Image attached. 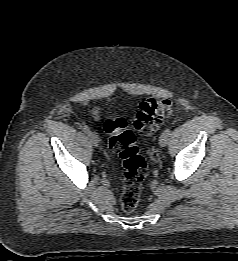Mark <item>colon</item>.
<instances>
[{
	"label": "colon",
	"mask_w": 238,
	"mask_h": 261,
	"mask_svg": "<svg viewBox=\"0 0 238 261\" xmlns=\"http://www.w3.org/2000/svg\"><path fill=\"white\" fill-rule=\"evenodd\" d=\"M173 103L168 99L149 98L139 104L134 128L143 135H152L162 120L172 113ZM104 130L110 134L109 147L122 159L124 166L121 207L130 213L138 206L143 180L147 174L145 159L141 156L132 131L126 129L123 119L107 120Z\"/></svg>",
	"instance_id": "1"
}]
</instances>
